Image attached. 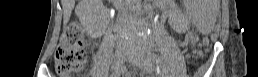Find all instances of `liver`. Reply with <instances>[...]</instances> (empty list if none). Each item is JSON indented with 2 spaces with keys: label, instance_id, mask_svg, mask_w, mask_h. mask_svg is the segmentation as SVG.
<instances>
[{
  "label": "liver",
  "instance_id": "6515ba94",
  "mask_svg": "<svg viewBox=\"0 0 258 77\" xmlns=\"http://www.w3.org/2000/svg\"><path fill=\"white\" fill-rule=\"evenodd\" d=\"M101 3L99 0H83L80 3V8H83V6H86V4L90 5L93 3ZM61 5L63 7V12H64V22L67 23L70 19L72 9L75 6V0H61Z\"/></svg>",
  "mask_w": 258,
  "mask_h": 77
}]
</instances>
